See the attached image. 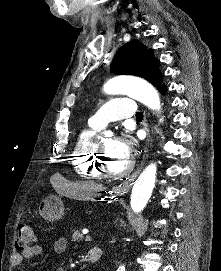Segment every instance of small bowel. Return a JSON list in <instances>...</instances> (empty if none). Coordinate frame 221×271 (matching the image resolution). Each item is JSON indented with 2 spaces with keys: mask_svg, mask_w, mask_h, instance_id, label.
<instances>
[{
  "mask_svg": "<svg viewBox=\"0 0 221 271\" xmlns=\"http://www.w3.org/2000/svg\"><path fill=\"white\" fill-rule=\"evenodd\" d=\"M53 248L56 253H63L67 248L66 239L64 237H59L58 239H56ZM41 252L42 248L39 245L27 247L21 253L16 252L11 256V265L13 267H17L22 263L23 259L33 258L40 255ZM58 271H64V269L60 268L58 269Z\"/></svg>",
  "mask_w": 221,
  "mask_h": 271,
  "instance_id": "small-bowel-1",
  "label": "small bowel"
}]
</instances>
